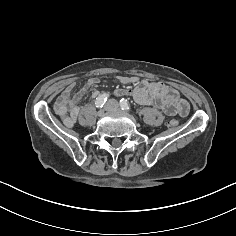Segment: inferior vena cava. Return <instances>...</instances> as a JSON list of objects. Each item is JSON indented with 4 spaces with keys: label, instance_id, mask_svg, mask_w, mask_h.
<instances>
[{
    "label": "inferior vena cava",
    "instance_id": "602c4592",
    "mask_svg": "<svg viewBox=\"0 0 236 236\" xmlns=\"http://www.w3.org/2000/svg\"><path fill=\"white\" fill-rule=\"evenodd\" d=\"M118 107V102L115 99H110L106 104L105 108L109 111H113Z\"/></svg>",
    "mask_w": 236,
    "mask_h": 236
}]
</instances>
